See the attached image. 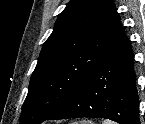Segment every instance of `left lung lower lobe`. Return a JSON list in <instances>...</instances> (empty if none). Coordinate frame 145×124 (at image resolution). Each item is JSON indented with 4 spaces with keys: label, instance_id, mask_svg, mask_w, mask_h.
<instances>
[{
    "label": "left lung lower lobe",
    "instance_id": "0a47b994",
    "mask_svg": "<svg viewBox=\"0 0 145 124\" xmlns=\"http://www.w3.org/2000/svg\"><path fill=\"white\" fill-rule=\"evenodd\" d=\"M129 44L125 36L119 48L46 120L94 117L140 124L134 56Z\"/></svg>",
    "mask_w": 145,
    "mask_h": 124
}]
</instances>
